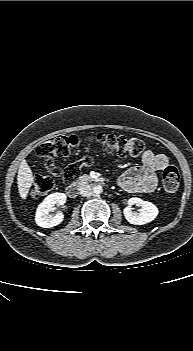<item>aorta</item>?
I'll use <instances>...</instances> for the list:
<instances>
[{
    "mask_svg": "<svg viewBox=\"0 0 193 351\" xmlns=\"http://www.w3.org/2000/svg\"><path fill=\"white\" fill-rule=\"evenodd\" d=\"M92 190L94 194H101L103 192L102 186L100 185L94 186Z\"/></svg>",
    "mask_w": 193,
    "mask_h": 351,
    "instance_id": "aorta-1",
    "label": "aorta"
}]
</instances>
